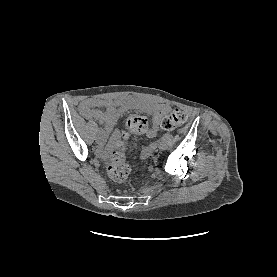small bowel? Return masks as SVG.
Segmentation results:
<instances>
[{
  "label": "small bowel",
  "mask_w": 277,
  "mask_h": 277,
  "mask_svg": "<svg viewBox=\"0 0 277 277\" xmlns=\"http://www.w3.org/2000/svg\"><path fill=\"white\" fill-rule=\"evenodd\" d=\"M142 104L128 98H87L79 105L80 113L87 119L98 121L103 124L100 130L101 143L103 146L106 136L113 130L119 116L130 108H139ZM103 108V110H101ZM149 109L153 114L154 128L148 133L149 137H155L158 133V126L167 108L162 104H150ZM120 132L113 133V139H119ZM148 150H146L147 152Z\"/></svg>",
  "instance_id": "c3829d8e"
}]
</instances>
